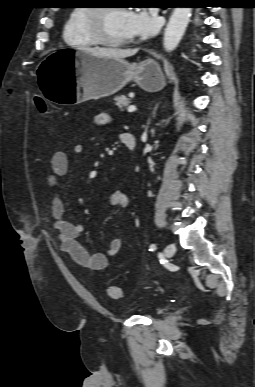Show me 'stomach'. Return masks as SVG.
<instances>
[{"instance_id":"stomach-1","label":"stomach","mask_w":255,"mask_h":387,"mask_svg":"<svg viewBox=\"0 0 255 387\" xmlns=\"http://www.w3.org/2000/svg\"><path fill=\"white\" fill-rule=\"evenodd\" d=\"M55 50L45 59H36L34 82L43 88L51 104H62L63 108H76L77 103L111 95L129 81L149 92L165 85L160 65L153 59L129 63L94 56L75 46H56Z\"/></svg>"}]
</instances>
